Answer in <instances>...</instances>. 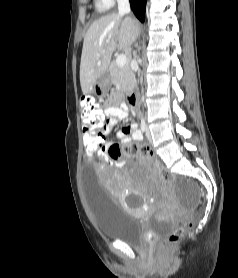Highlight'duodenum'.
Here are the masks:
<instances>
[{"label": "duodenum", "instance_id": "duodenum-1", "mask_svg": "<svg viewBox=\"0 0 238 278\" xmlns=\"http://www.w3.org/2000/svg\"><path fill=\"white\" fill-rule=\"evenodd\" d=\"M128 100H129V104H130L131 106H133V107L136 106L137 97H136V94H135L134 92L130 93Z\"/></svg>", "mask_w": 238, "mask_h": 278}]
</instances>
